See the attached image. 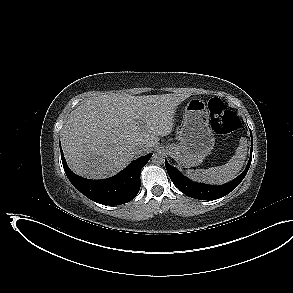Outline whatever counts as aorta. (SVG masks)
<instances>
[{"mask_svg": "<svg viewBox=\"0 0 293 293\" xmlns=\"http://www.w3.org/2000/svg\"><path fill=\"white\" fill-rule=\"evenodd\" d=\"M151 160L154 164H162L165 161L164 154L161 151H156L153 153Z\"/></svg>", "mask_w": 293, "mask_h": 293, "instance_id": "762f6f07", "label": "aorta"}]
</instances>
